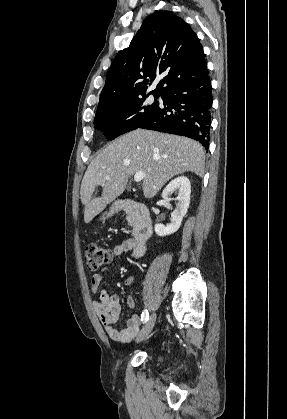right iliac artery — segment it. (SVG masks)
Segmentation results:
<instances>
[{"instance_id": "obj_1", "label": "right iliac artery", "mask_w": 287, "mask_h": 419, "mask_svg": "<svg viewBox=\"0 0 287 419\" xmlns=\"http://www.w3.org/2000/svg\"><path fill=\"white\" fill-rule=\"evenodd\" d=\"M149 319V313L148 310H144L141 314V321L145 323Z\"/></svg>"}]
</instances>
